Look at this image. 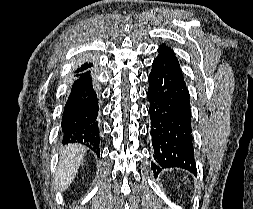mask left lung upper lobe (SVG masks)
Returning a JSON list of instances; mask_svg holds the SVG:
<instances>
[{
    "label": "left lung upper lobe",
    "instance_id": "obj_1",
    "mask_svg": "<svg viewBox=\"0 0 253 209\" xmlns=\"http://www.w3.org/2000/svg\"><path fill=\"white\" fill-rule=\"evenodd\" d=\"M159 55L157 56L156 59H162V60H166L169 61L171 63H173L175 66H177L180 69L178 60L173 52L172 49H170L169 47H167L165 44H162L159 49H158Z\"/></svg>",
    "mask_w": 253,
    "mask_h": 209
}]
</instances>
